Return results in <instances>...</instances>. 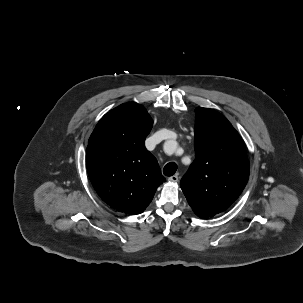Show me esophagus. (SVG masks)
I'll return each mask as SVG.
<instances>
[{
  "instance_id": "34e87169",
  "label": "esophagus",
  "mask_w": 303,
  "mask_h": 303,
  "mask_svg": "<svg viewBox=\"0 0 303 303\" xmlns=\"http://www.w3.org/2000/svg\"><path fill=\"white\" fill-rule=\"evenodd\" d=\"M168 180L170 182H178L179 177L177 175H173V176L169 177Z\"/></svg>"
}]
</instances>
